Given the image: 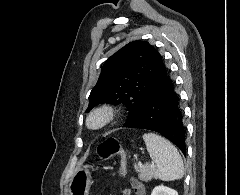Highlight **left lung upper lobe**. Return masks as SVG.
<instances>
[{"label": "left lung upper lobe", "instance_id": "left-lung-upper-lobe-1", "mask_svg": "<svg viewBox=\"0 0 240 195\" xmlns=\"http://www.w3.org/2000/svg\"><path fill=\"white\" fill-rule=\"evenodd\" d=\"M168 75L161 55L152 45L144 41L130 42L105 62L90 93L86 112L101 103H122L128 110V122Z\"/></svg>", "mask_w": 240, "mask_h": 195}]
</instances>
